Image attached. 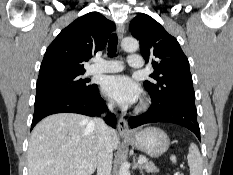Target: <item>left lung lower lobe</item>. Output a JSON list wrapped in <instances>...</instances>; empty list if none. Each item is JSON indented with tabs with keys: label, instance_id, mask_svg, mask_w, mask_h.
<instances>
[{
	"label": "left lung lower lobe",
	"instance_id": "left-lung-lower-lobe-1",
	"mask_svg": "<svg viewBox=\"0 0 233 175\" xmlns=\"http://www.w3.org/2000/svg\"><path fill=\"white\" fill-rule=\"evenodd\" d=\"M156 122H169L184 126L191 130L200 140L195 100L177 99L161 108L151 106L144 114L129 118L131 128Z\"/></svg>",
	"mask_w": 233,
	"mask_h": 175
}]
</instances>
